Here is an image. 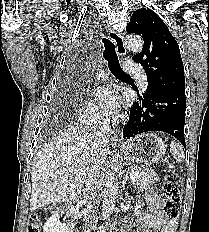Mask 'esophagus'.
Segmentation results:
<instances>
[{
  "label": "esophagus",
  "mask_w": 209,
  "mask_h": 232,
  "mask_svg": "<svg viewBox=\"0 0 209 232\" xmlns=\"http://www.w3.org/2000/svg\"><path fill=\"white\" fill-rule=\"evenodd\" d=\"M109 38L111 39V41L115 44L116 46V49H117V52L120 56H125L126 55V47L124 45V40H123V37L116 33L115 31H110L109 32ZM111 135H112V138L117 141V138H118V130L116 128V125L113 124V127L111 129Z\"/></svg>",
  "instance_id": "34e87169"
}]
</instances>
